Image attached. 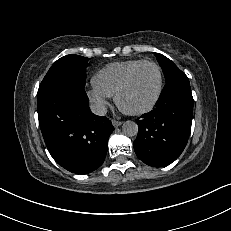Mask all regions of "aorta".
Listing matches in <instances>:
<instances>
[{
    "instance_id": "1",
    "label": "aorta",
    "mask_w": 231,
    "mask_h": 231,
    "mask_svg": "<svg viewBox=\"0 0 231 231\" xmlns=\"http://www.w3.org/2000/svg\"><path fill=\"white\" fill-rule=\"evenodd\" d=\"M122 132L126 136L133 137L138 133V125L134 121H125L122 125Z\"/></svg>"
}]
</instances>
